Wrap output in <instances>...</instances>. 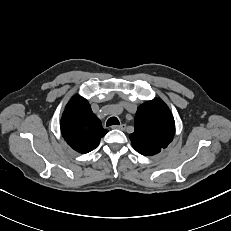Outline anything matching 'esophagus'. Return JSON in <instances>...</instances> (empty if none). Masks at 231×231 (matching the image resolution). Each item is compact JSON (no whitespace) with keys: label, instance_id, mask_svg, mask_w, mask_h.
<instances>
[{"label":"esophagus","instance_id":"esophagus-1","mask_svg":"<svg viewBox=\"0 0 231 231\" xmlns=\"http://www.w3.org/2000/svg\"><path fill=\"white\" fill-rule=\"evenodd\" d=\"M126 125L125 124H121V125H114L112 126V129H120V130H125Z\"/></svg>","mask_w":231,"mask_h":231}]
</instances>
